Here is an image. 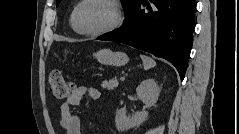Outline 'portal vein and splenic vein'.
Wrapping results in <instances>:
<instances>
[{
  "label": "portal vein and splenic vein",
  "instance_id": "obj_1",
  "mask_svg": "<svg viewBox=\"0 0 239 134\" xmlns=\"http://www.w3.org/2000/svg\"><path fill=\"white\" fill-rule=\"evenodd\" d=\"M120 80L121 81L125 80V77L124 76L120 77Z\"/></svg>",
  "mask_w": 239,
  "mask_h": 134
}]
</instances>
